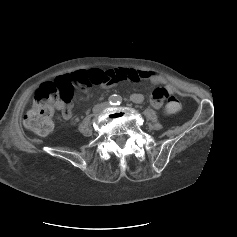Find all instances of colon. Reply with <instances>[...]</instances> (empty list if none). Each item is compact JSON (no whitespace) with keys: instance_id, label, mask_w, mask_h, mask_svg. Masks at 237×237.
I'll use <instances>...</instances> for the list:
<instances>
[{"instance_id":"colon-1","label":"colon","mask_w":237,"mask_h":237,"mask_svg":"<svg viewBox=\"0 0 237 237\" xmlns=\"http://www.w3.org/2000/svg\"><path fill=\"white\" fill-rule=\"evenodd\" d=\"M105 81L106 77L100 70H81L42 84L35 92L31 108L25 116V127L36 135L49 134L53 129V115L57 103L70 102L75 87L86 89ZM180 107V101L176 97H171L166 104L165 113L174 114Z\"/></svg>"}]
</instances>
